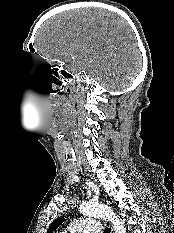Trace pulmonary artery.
<instances>
[{
    "mask_svg": "<svg viewBox=\"0 0 174 233\" xmlns=\"http://www.w3.org/2000/svg\"><path fill=\"white\" fill-rule=\"evenodd\" d=\"M101 224L96 219L81 218L70 224V226L61 233H99Z\"/></svg>",
    "mask_w": 174,
    "mask_h": 233,
    "instance_id": "e3ab8cb5",
    "label": "pulmonary artery"
}]
</instances>
